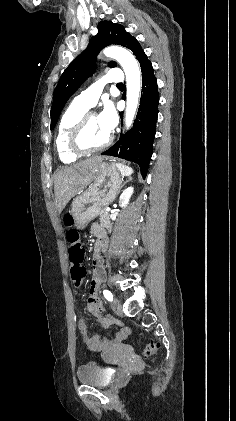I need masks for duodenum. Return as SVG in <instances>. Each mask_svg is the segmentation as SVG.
<instances>
[{"mask_svg":"<svg viewBox=\"0 0 236 421\" xmlns=\"http://www.w3.org/2000/svg\"><path fill=\"white\" fill-rule=\"evenodd\" d=\"M96 236L98 237V241L96 244V249L98 251L100 250H105L107 245H108V239L105 233L104 229H100L99 231H97ZM93 267H94V281L97 284H101V282L103 281L104 278V268H103V262L101 260L100 257H96L93 263ZM94 311H98L99 307H94L93 308ZM102 323L104 325L108 324V321L105 319H102ZM81 332L82 334L85 336V340L89 341V339L87 338V331H86V327H82L81 328ZM116 340H119V338H117ZM98 344L102 347H107L111 344V341H104V342H99Z\"/></svg>","mask_w":236,"mask_h":421,"instance_id":"duodenum-1","label":"duodenum"}]
</instances>
